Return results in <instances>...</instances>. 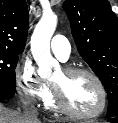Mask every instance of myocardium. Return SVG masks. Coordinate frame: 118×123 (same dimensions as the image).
I'll return each mask as SVG.
<instances>
[{
	"label": "myocardium",
	"mask_w": 118,
	"mask_h": 123,
	"mask_svg": "<svg viewBox=\"0 0 118 123\" xmlns=\"http://www.w3.org/2000/svg\"><path fill=\"white\" fill-rule=\"evenodd\" d=\"M67 75H77V74H85L89 76L96 84L100 96H101V102L99 108L93 112L88 114L79 113L75 110H73L68 104L64 101L62 93L60 89L51 83V90H52V97L54 100L55 105L65 114L81 120H90L95 119L101 116L107 107L108 102V96H107V90L102 82V80L99 78V76L94 73L92 70L84 68V67H74V66H66L62 69Z\"/></svg>",
	"instance_id": "1"
}]
</instances>
